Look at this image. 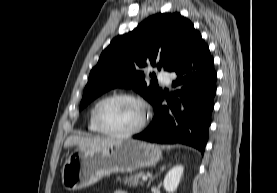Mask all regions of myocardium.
I'll return each mask as SVG.
<instances>
[{
	"mask_svg": "<svg viewBox=\"0 0 277 193\" xmlns=\"http://www.w3.org/2000/svg\"><path fill=\"white\" fill-rule=\"evenodd\" d=\"M116 99H128V100H132L137 102L143 110L142 113V118L139 122V124L137 126H135L134 128L127 130V131H123V132H115V131H110L108 129H106L102 123L99 120V116H98V112L100 107L111 100H116ZM149 116H150V106L148 104V102L143 99L142 97L136 95V94H132V93H117V94H112L109 96H106L104 98H102L101 100H99L93 107L92 110V120L94 125L96 126V128L100 131V133H103L105 135L111 136V137H116V138H126V137H130L133 136L139 132H141L147 125L148 120H149Z\"/></svg>",
	"mask_w": 277,
	"mask_h": 193,
	"instance_id": "myocardium-1",
	"label": "myocardium"
}]
</instances>
